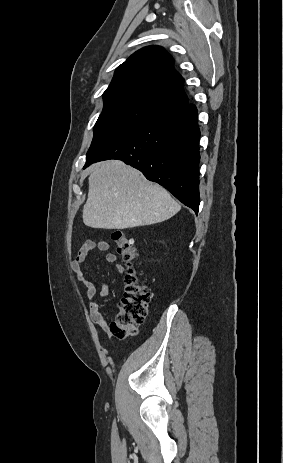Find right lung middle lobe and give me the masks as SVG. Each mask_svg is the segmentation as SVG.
Returning a JSON list of instances; mask_svg holds the SVG:
<instances>
[{
  "label": "right lung middle lobe",
  "mask_w": 283,
  "mask_h": 463,
  "mask_svg": "<svg viewBox=\"0 0 283 463\" xmlns=\"http://www.w3.org/2000/svg\"><path fill=\"white\" fill-rule=\"evenodd\" d=\"M104 109L95 127L86 157L160 114V110L120 94H103Z\"/></svg>",
  "instance_id": "1"
}]
</instances>
